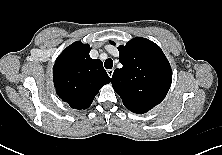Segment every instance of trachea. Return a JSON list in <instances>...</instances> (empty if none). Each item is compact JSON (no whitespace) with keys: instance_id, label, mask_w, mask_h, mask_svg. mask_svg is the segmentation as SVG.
Here are the masks:
<instances>
[{"instance_id":"1","label":"trachea","mask_w":222,"mask_h":155,"mask_svg":"<svg viewBox=\"0 0 222 155\" xmlns=\"http://www.w3.org/2000/svg\"><path fill=\"white\" fill-rule=\"evenodd\" d=\"M104 66L106 69H111L113 67V60L112 59H107L105 62H104Z\"/></svg>"}]
</instances>
